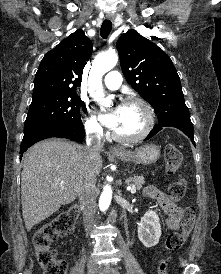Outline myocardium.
Returning <instances> with one entry per match:
<instances>
[{
  "label": "myocardium",
  "instance_id": "myocardium-1",
  "mask_svg": "<svg viewBox=\"0 0 221 274\" xmlns=\"http://www.w3.org/2000/svg\"><path fill=\"white\" fill-rule=\"evenodd\" d=\"M128 104H138L143 108L145 113V125L143 129L136 135L122 136L113 130L112 137L116 141L121 143H136L146 138L149 135V133L152 131L155 124L154 110L152 106L145 99L138 96H128L124 98L121 102V105H128Z\"/></svg>",
  "mask_w": 221,
  "mask_h": 274
}]
</instances>
